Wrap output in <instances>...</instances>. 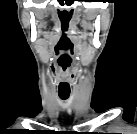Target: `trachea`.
<instances>
[{
    "mask_svg": "<svg viewBox=\"0 0 137 134\" xmlns=\"http://www.w3.org/2000/svg\"><path fill=\"white\" fill-rule=\"evenodd\" d=\"M59 97H60L62 100H66V99L69 97V94H60Z\"/></svg>",
    "mask_w": 137,
    "mask_h": 134,
    "instance_id": "1",
    "label": "trachea"
}]
</instances>
